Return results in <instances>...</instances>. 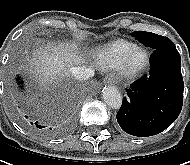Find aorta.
<instances>
[{"label":"aorta","instance_id":"aorta-1","mask_svg":"<svg viewBox=\"0 0 190 165\" xmlns=\"http://www.w3.org/2000/svg\"><path fill=\"white\" fill-rule=\"evenodd\" d=\"M102 97L111 108L119 109L121 107L122 95L115 86H105L102 90Z\"/></svg>","mask_w":190,"mask_h":165}]
</instances>
